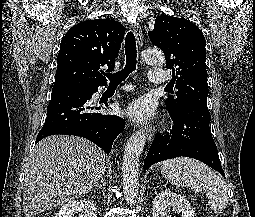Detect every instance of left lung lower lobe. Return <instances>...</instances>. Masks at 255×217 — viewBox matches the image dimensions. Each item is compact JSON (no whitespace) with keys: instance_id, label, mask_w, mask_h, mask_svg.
<instances>
[{"instance_id":"left-lung-lower-lobe-1","label":"left lung lower lobe","mask_w":255,"mask_h":217,"mask_svg":"<svg viewBox=\"0 0 255 217\" xmlns=\"http://www.w3.org/2000/svg\"><path fill=\"white\" fill-rule=\"evenodd\" d=\"M174 125L166 135L158 133L144 163V169L157 162L185 156L197 159L225 177L213 140L208 109L187 106L180 112H169Z\"/></svg>"}]
</instances>
